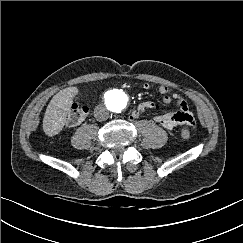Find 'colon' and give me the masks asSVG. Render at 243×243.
<instances>
[{"label":"colon","instance_id":"colon-1","mask_svg":"<svg viewBox=\"0 0 243 243\" xmlns=\"http://www.w3.org/2000/svg\"><path fill=\"white\" fill-rule=\"evenodd\" d=\"M88 108L85 106H79L77 104H74L71 107V110L69 112L68 118H67V124L69 126H76L82 123L87 115H88ZM191 135V131L189 129V126L184 125L181 130V136L184 139H188Z\"/></svg>","mask_w":243,"mask_h":243}]
</instances>
